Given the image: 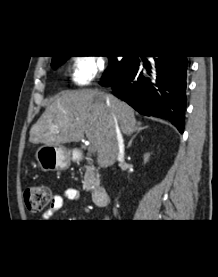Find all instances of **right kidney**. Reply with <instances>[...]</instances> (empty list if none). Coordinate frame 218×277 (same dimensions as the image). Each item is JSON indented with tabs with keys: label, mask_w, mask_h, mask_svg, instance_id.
<instances>
[{
	"label": "right kidney",
	"mask_w": 218,
	"mask_h": 277,
	"mask_svg": "<svg viewBox=\"0 0 218 277\" xmlns=\"http://www.w3.org/2000/svg\"><path fill=\"white\" fill-rule=\"evenodd\" d=\"M148 158H149V154H146V155L144 156V163H146V162L148 161Z\"/></svg>",
	"instance_id": "obj_1"
}]
</instances>
